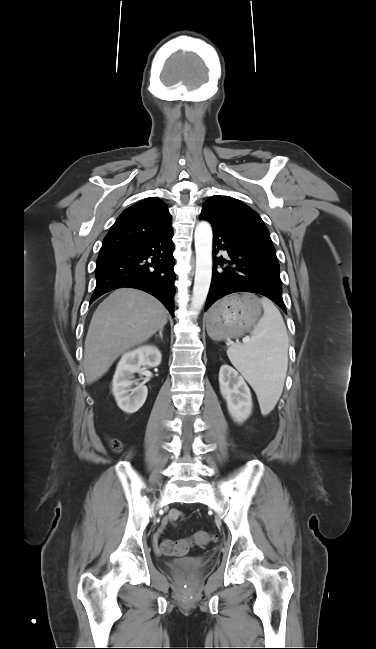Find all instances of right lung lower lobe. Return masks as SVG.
Segmentation results:
<instances>
[{
  "label": "right lung lower lobe",
  "mask_w": 376,
  "mask_h": 649,
  "mask_svg": "<svg viewBox=\"0 0 376 649\" xmlns=\"http://www.w3.org/2000/svg\"><path fill=\"white\" fill-rule=\"evenodd\" d=\"M172 237L173 231H170L121 248L100 251L96 265V288L90 304L108 291L131 287L155 296L174 316Z\"/></svg>",
  "instance_id": "right-lung-lower-lobe-1"
}]
</instances>
